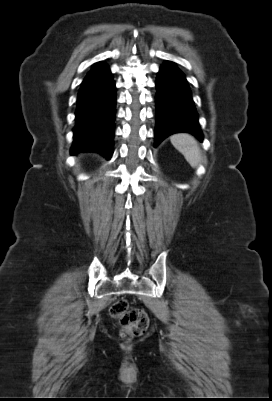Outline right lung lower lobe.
Segmentation results:
<instances>
[{
  "mask_svg": "<svg viewBox=\"0 0 272 401\" xmlns=\"http://www.w3.org/2000/svg\"><path fill=\"white\" fill-rule=\"evenodd\" d=\"M116 89L105 64H95L78 95L76 127L71 154L99 152L106 159L113 153Z\"/></svg>",
  "mask_w": 272,
  "mask_h": 401,
  "instance_id": "obj_1",
  "label": "right lung lower lobe"
}]
</instances>
